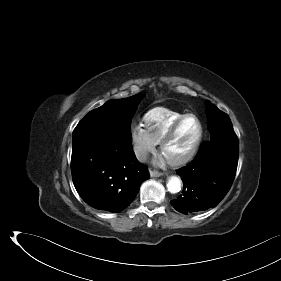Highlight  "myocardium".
Returning a JSON list of instances; mask_svg holds the SVG:
<instances>
[{"label": "myocardium", "instance_id": "f54148a6", "mask_svg": "<svg viewBox=\"0 0 281 281\" xmlns=\"http://www.w3.org/2000/svg\"><path fill=\"white\" fill-rule=\"evenodd\" d=\"M189 117H194L199 124V133L193 145L183 154L176 158L168 159V162L173 166H181L189 162L197 153L203 139L204 128L201 119L194 113H186L180 117L166 132L160 141V152L163 154L167 144L174 138L182 123Z\"/></svg>", "mask_w": 281, "mask_h": 281}]
</instances>
